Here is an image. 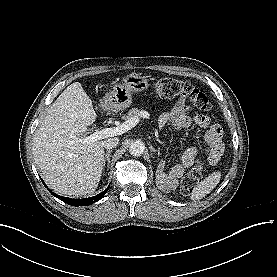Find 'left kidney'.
Masks as SVG:
<instances>
[{
  "instance_id": "left-kidney-1",
  "label": "left kidney",
  "mask_w": 277,
  "mask_h": 277,
  "mask_svg": "<svg viewBox=\"0 0 277 277\" xmlns=\"http://www.w3.org/2000/svg\"><path fill=\"white\" fill-rule=\"evenodd\" d=\"M165 161L161 160L157 171H156V183L159 185L163 190L172 189L175 186V175L170 172L169 174H165L164 171Z\"/></svg>"
}]
</instances>
